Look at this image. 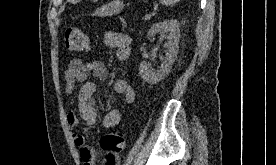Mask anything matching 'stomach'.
<instances>
[{"label": "stomach", "instance_id": "0dacf381", "mask_svg": "<svg viewBox=\"0 0 276 165\" xmlns=\"http://www.w3.org/2000/svg\"><path fill=\"white\" fill-rule=\"evenodd\" d=\"M123 6V2L120 0H112L109 3L102 5L100 8H97L94 15L100 17L112 16L119 13L123 9Z\"/></svg>", "mask_w": 276, "mask_h": 165}]
</instances>
